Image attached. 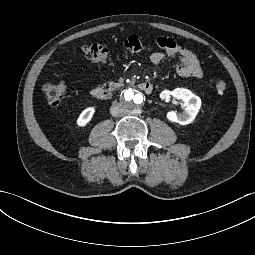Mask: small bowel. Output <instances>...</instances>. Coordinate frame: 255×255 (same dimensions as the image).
Segmentation results:
<instances>
[{
  "label": "small bowel",
  "mask_w": 255,
  "mask_h": 255,
  "mask_svg": "<svg viewBox=\"0 0 255 255\" xmlns=\"http://www.w3.org/2000/svg\"><path fill=\"white\" fill-rule=\"evenodd\" d=\"M161 51L151 54L150 60L153 64H160L168 58L175 59L178 64L176 72L181 77L201 78L203 76L200 63L191 51L178 45L173 39L160 37L157 40Z\"/></svg>",
  "instance_id": "1"
}]
</instances>
